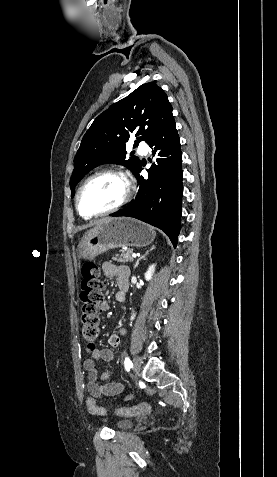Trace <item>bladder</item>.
<instances>
[{
	"label": "bladder",
	"instance_id": "bladder-1",
	"mask_svg": "<svg viewBox=\"0 0 277 477\" xmlns=\"http://www.w3.org/2000/svg\"><path fill=\"white\" fill-rule=\"evenodd\" d=\"M133 421L129 420V419H122V420H119L117 423H116V426L118 429L120 430H126V429H129L133 426Z\"/></svg>",
	"mask_w": 277,
	"mask_h": 477
}]
</instances>
